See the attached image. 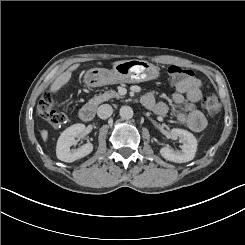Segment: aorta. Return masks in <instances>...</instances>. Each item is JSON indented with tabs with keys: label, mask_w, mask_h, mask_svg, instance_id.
Here are the masks:
<instances>
[{
	"label": "aorta",
	"mask_w": 245,
	"mask_h": 245,
	"mask_svg": "<svg viewBox=\"0 0 245 245\" xmlns=\"http://www.w3.org/2000/svg\"><path fill=\"white\" fill-rule=\"evenodd\" d=\"M119 113L123 119H131L134 115L133 109L130 106H122Z\"/></svg>",
	"instance_id": "obj_1"
}]
</instances>
